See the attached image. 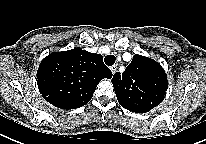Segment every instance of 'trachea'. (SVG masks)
Here are the masks:
<instances>
[{
  "label": "trachea",
  "instance_id": "trachea-1",
  "mask_svg": "<svg viewBox=\"0 0 206 144\" xmlns=\"http://www.w3.org/2000/svg\"><path fill=\"white\" fill-rule=\"evenodd\" d=\"M116 61V58L114 55H107L104 59V62L108 66H112Z\"/></svg>",
  "mask_w": 206,
  "mask_h": 144
}]
</instances>
